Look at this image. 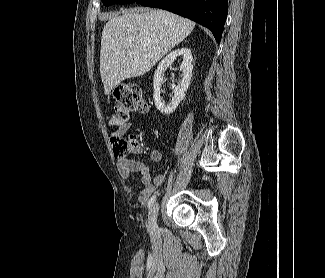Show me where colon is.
Wrapping results in <instances>:
<instances>
[{
	"label": "colon",
	"instance_id": "colon-1",
	"mask_svg": "<svg viewBox=\"0 0 325 278\" xmlns=\"http://www.w3.org/2000/svg\"><path fill=\"white\" fill-rule=\"evenodd\" d=\"M148 103L144 99L141 89L134 85L119 86L114 89L111 96L110 127L117 128L126 123L134 112H146ZM115 130L113 139L114 152L125 156L137 154L142 151V145L136 137L125 138Z\"/></svg>",
	"mask_w": 325,
	"mask_h": 278
}]
</instances>
